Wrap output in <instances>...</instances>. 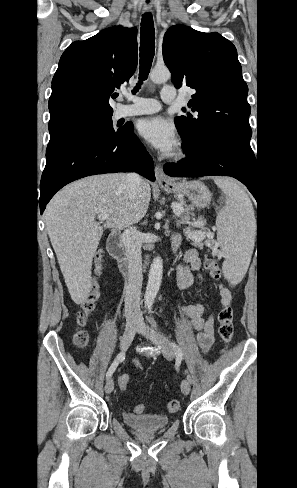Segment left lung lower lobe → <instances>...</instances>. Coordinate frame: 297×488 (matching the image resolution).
<instances>
[{"label": "left lung lower lobe", "instance_id": "1", "mask_svg": "<svg viewBox=\"0 0 297 488\" xmlns=\"http://www.w3.org/2000/svg\"><path fill=\"white\" fill-rule=\"evenodd\" d=\"M186 154V159L166 164L164 172L172 177L231 176L246 185L258 202V174L254 153L223 145H204Z\"/></svg>", "mask_w": 297, "mask_h": 488}]
</instances>
